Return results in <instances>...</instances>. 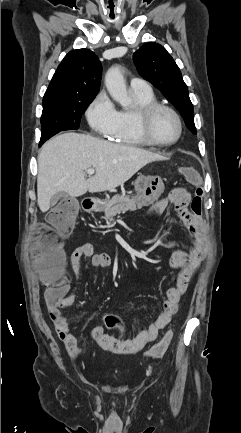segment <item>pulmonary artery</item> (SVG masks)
<instances>
[{
    "label": "pulmonary artery",
    "instance_id": "pulmonary-artery-1",
    "mask_svg": "<svg viewBox=\"0 0 241 433\" xmlns=\"http://www.w3.org/2000/svg\"><path fill=\"white\" fill-rule=\"evenodd\" d=\"M130 88L134 92L151 93V85L143 78L135 77L130 81Z\"/></svg>",
    "mask_w": 241,
    "mask_h": 433
}]
</instances>
